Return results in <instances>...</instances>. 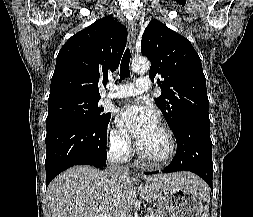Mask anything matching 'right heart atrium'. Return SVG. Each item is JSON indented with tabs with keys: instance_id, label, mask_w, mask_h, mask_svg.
<instances>
[{
	"instance_id": "d8ad5b80",
	"label": "right heart atrium",
	"mask_w": 253,
	"mask_h": 217,
	"mask_svg": "<svg viewBox=\"0 0 253 217\" xmlns=\"http://www.w3.org/2000/svg\"><path fill=\"white\" fill-rule=\"evenodd\" d=\"M111 149L121 158H127L131 152L129 135L121 128H112L109 132Z\"/></svg>"
}]
</instances>
